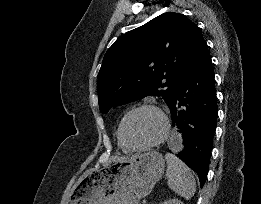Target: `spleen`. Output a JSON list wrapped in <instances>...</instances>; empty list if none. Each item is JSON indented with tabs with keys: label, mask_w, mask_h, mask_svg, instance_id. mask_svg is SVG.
<instances>
[{
	"label": "spleen",
	"mask_w": 261,
	"mask_h": 204,
	"mask_svg": "<svg viewBox=\"0 0 261 204\" xmlns=\"http://www.w3.org/2000/svg\"><path fill=\"white\" fill-rule=\"evenodd\" d=\"M165 159L169 188L181 197L191 199L196 192V182L190 169L173 154H166Z\"/></svg>",
	"instance_id": "spleen-1"
}]
</instances>
